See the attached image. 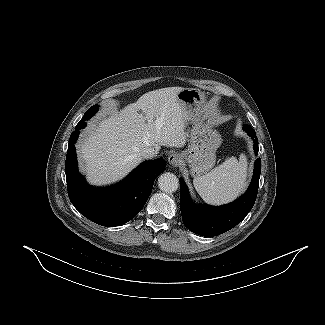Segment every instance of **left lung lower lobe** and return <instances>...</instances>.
I'll return each mask as SVG.
<instances>
[{
    "mask_svg": "<svg viewBox=\"0 0 325 325\" xmlns=\"http://www.w3.org/2000/svg\"><path fill=\"white\" fill-rule=\"evenodd\" d=\"M243 129L252 138L255 154L257 155L259 147L255 131L247 125ZM260 173L261 159L258 158L254 164L252 181L245 194L234 202L219 207L195 206L191 201L184 180L180 178V210L184 225L190 231L206 237L220 235L235 227L247 216L255 203Z\"/></svg>",
    "mask_w": 325,
    "mask_h": 325,
    "instance_id": "obj_1",
    "label": "left lung lower lobe"
}]
</instances>
